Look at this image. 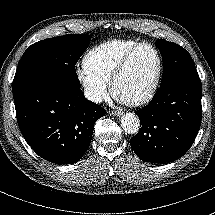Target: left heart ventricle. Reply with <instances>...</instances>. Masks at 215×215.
<instances>
[{
	"label": "left heart ventricle",
	"instance_id": "b2bd125f",
	"mask_svg": "<svg viewBox=\"0 0 215 215\" xmlns=\"http://www.w3.org/2000/svg\"><path fill=\"white\" fill-rule=\"evenodd\" d=\"M156 68L157 57L154 50L149 46L139 48L115 85V97L121 101L138 98L147 88Z\"/></svg>",
	"mask_w": 215,
	"mask_h": 215
}]
</instances>
